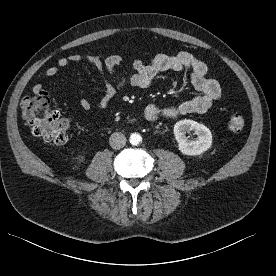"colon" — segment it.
Returning a JSON list of instances; mask_svg holds the SVG:
<instances>
[{
  "mask_svg": "<svg viewBox=\"0 0 276 276\" xmlns=\"http://www.w3.org/2000/svg\"><path fill=\"white\" fill-rule=\"evenodd\" d=\"M20 108L25 123L35 136L54 145L67 142L71 124L53 108L50 95L46 91L25 97ZM244 126L245 119L242 114L234 113L229 117L228 128L231 131L240 132Z\"/></svg>",
  "mask_w": 276,
  "mask_h": 276,
  "instance_id": "5ec220e1",
  "label": "colon"
}]
</instances>
